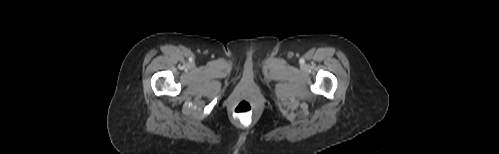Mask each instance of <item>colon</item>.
Here are the masks:
<instances>
[{
  "instance_id": "1",
  "label": "colon",
  "mask_w": 499,
  "mask_h": 154,
  "mask_svg": "<svg viewBox=\"0 0 499 154\" xmlns=\"http://www.w3.org/2000/svg\"><path fill=\"white\" fill-rule=\"evenodd\" d=\"M254 112L253 104L247 100H240L233 108V117L241 124H249L252 121Z\"/></svg>"
}]
</instances>
